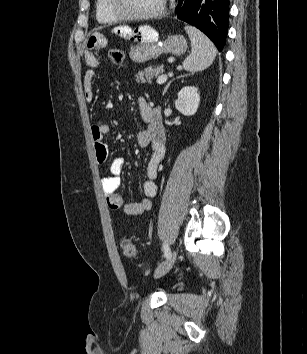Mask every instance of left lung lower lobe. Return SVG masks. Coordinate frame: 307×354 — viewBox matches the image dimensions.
<instances>
[{
	"label": "left lung lower lobe",
	"mask_w": 307,
	"mask_h": 354,
	"mask_svg": "<svg viewBox=\"0 0 307 354\" xmlns=\"http://www.w3.org/2000/svg\"><path fill=\"white\" fill-rule=\"evenodd\" d=\"M229 0H179L177 18L205 33L222 51L228 32Z\"/></svg>",
	"instance_id": "left-lung-lower-lobe-1"
}]
</instances>
